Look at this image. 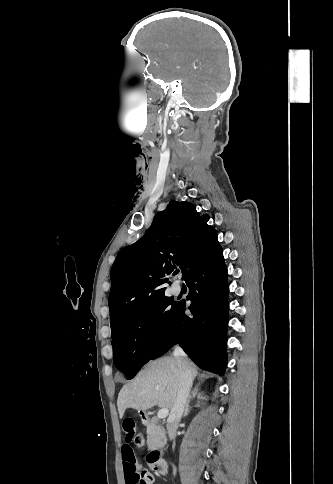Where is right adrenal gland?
<instances>
[{"label":"right adrenal gland","instance_id":"2a0ac1e0","mask_svg":"<svg viewBox=\"0 0 333 484\" xmlns=\"http://www.w3.org/2000/svg\"><path fill=\"white\" fill-rule=\"evenodd\" d=\"M190 399H191V395L189 396V399L186 403L183 417H186L188 415L189 411H190Z\"/></svg>","mask_w":333,"mask_h":484}]
</instances>
